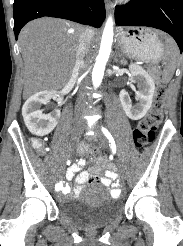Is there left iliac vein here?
I'll list each match as a JSON object with an SVG mask.
<instances>
[{"instance_id": "obj_1", "label": "left iliac vein", "mask_w": 183, "mask_h": 246, "mask_svg": "<svg viewBox=\"0 0 183 246\" xmlns=\"http://www.w3.org/2000/svg\"><path fill=\"white\" fill-rule=\"evenodd\" d=\"M95 131H96L97 142L99 143V145L102 148H107L108 143H107L105 137L103 136V134L98 129H95ZM116 163H117V166H118L119 170L122 172L123 169H122L121 162L118 159H116Z\"/></svg>"}]
</instances>
